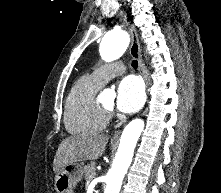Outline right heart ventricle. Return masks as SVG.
Returning <instances> with one entry per match:
<instances>
[{
    "label": "right heart ventricle",
    "mask_w": 221,
    "mask_h": 193,
    "mask_svg": "<svg viewBox=\"0 0 221 193\" xmlns=\"http://www.w3.org/2000/svg\"><path fill=\"white\" fill-rule=\"evenodd\" d=\"M100 87L91 76L80 77L71 87L64 106L65 126L71 134H91L106 127L108 118L96 102Z\"/></svg>",
    "instance_id": "right-heart-ventricle-1"
}]
</instances>
